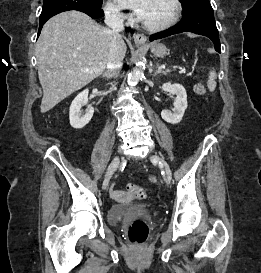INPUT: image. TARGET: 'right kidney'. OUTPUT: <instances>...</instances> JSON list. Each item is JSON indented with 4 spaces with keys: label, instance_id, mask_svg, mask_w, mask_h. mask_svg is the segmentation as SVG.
<instances>
[{
    "label": "right kidney",
    "instance_id": "obj_1",
    "mask_svg": "<svg viewBox=\"0 0 261 273\" xmlns=\"http://www.w3.org/2000/svg\"><path fill=\"white\" fill-rule=\"evenodd\" d=\"M88 93L89 90L85 89L79 93L71 103L69 119L70 125L75 129H81L85 127L93 116L94 108L90 105L88 106L85 114H82L81 111L82 106L88 103Z\"/></svg>",
    "mask_w": 261,
    "mask_h": 273
}]
</instances>
